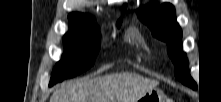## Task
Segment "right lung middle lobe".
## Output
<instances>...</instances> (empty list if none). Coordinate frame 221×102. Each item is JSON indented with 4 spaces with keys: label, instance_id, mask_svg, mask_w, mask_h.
Masks as SVG:
<instances>
[{
    "label": "right lung middle lobe",
    "instance_id": "dd1d6c3e",
    "mask_svg": "<svg viewBox=\"0 0 221 102\" xmlns=\"http://www.w3.org/2000/svg\"><path fill=\"white\" fill-rule=\"evenodd\" d=\"M122 19L117 26L120 27ZM98 27L91 21L70 20V30L64 35L63 59L59 61L52 73L50 86L74 77L89 69L95 63L99 43L94 41Z\"/></svg>",
    "mask_w": 221,
    "mask_h": 102
}]
</instances>
